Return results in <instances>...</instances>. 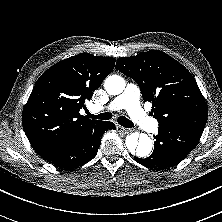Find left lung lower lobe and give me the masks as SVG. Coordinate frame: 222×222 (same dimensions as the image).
Wrapping results in <instances>:
<instances>
[{"instance_id":"0a47b994","label":"left lung lower lobe","mask_w":222,"mask_h":222,"mask_svg":"<svg viewBox=\"0 0 222 222\" xmlns=\"http://www.w3.org/2000/svg\"><path fill=\"white\" fill-rule=\"evenodd\" d=\"M203 131L177 125L158 127L154 151L148 158L134 157L135 161L150 169L163 170L177 165L197 146Z\"/></svg>"}]
</instances>
